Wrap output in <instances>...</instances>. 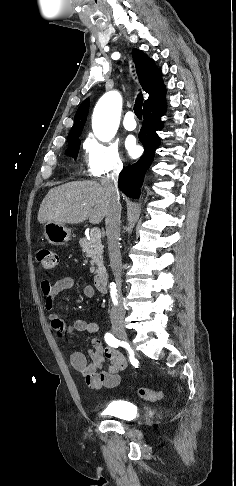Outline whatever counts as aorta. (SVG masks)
<instances>
[{
  "label": "aorta",
  "mask_w": 236,
  "mask_h": 486,
  "mask_svg": "<svg viewBox=\"0 0 236 486\" xmlns=\"http://www.w3.org/2000/svg\"><path fill=\"white\" fill-rule=\"evenodd\" d=\"M121 103V96L116 91L106 93L98 101L93 113L92 129L99 140L108 142L114 137L120 121ZM110 289L114 295V283L110 284Z\"/></svg>",
  "instance_id": "aorta-1"
}]
</instances>
